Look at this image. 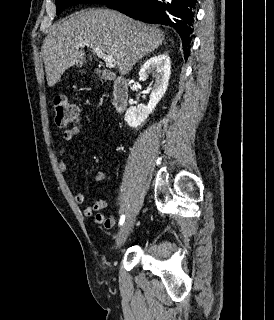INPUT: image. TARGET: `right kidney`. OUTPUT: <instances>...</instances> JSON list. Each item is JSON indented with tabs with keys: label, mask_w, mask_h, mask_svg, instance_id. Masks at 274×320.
<instances>
[{
	"label": "right kidney",
	"mask_w": 274,
	"mask_h": 320,
	"mask_svg": "<svg viewBox=\"0 0 274 320\" xmlns=\"http://www.w3.org/2000/svg\"><path fill=\"white\" fill-rule=\"evenodd\" d=\"M148 74H153V78H155V84H151L147 90L150 94V100L147 106H130L126 110L124 120L130 128H138L144 124L149 114H152L158 102L163 98L171 74V62L168 54H156L147 60L140 68V80L144 82L148 78Z\"/></svg>",
	"instance_id": "ca27d5eb"
}]
</instances>
